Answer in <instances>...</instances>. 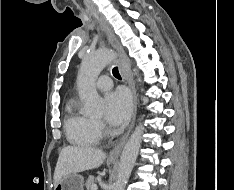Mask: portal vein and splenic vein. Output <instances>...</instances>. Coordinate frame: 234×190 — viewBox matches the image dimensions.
Returning a JSON list of instances; mask_svg holds the SVG:
<instances>
[{"mask_svg":"<svg viewBox=\"0 0 234 190\" xmlns=\"http://www.w3.org/2000/svg\"><path fill=\"white\" fill-rule=\"evenodd\" d=\"M97 189H98V187H97L96 184H94V185L92 186V188H91V190H97Z\"/></svg>","mask_w":234,"mask_h":190,"instance_id":"portal-vein-and-splenic-vein-1","label":"portal vein and splenic vein"}]
</instances>
